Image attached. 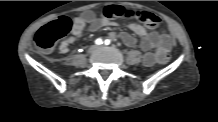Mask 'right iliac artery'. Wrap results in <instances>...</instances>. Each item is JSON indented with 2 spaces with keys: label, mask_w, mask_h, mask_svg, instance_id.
<instances>
[{
  "label": "right iliac artery",
  "mask_w": 218,
  "mask_h": 122,
  "mask_svg": "<svg viewBox=\"0 0 218 122\" xmlns=\"http://www.w3.org/2000/svg\"><path fill=\"white\" fill-rule=\"evenodd\" d=\"M95 43L97 45H101L103 42H102V39L98 38V39L95 40Z\"/></svg>",
  "instance_id": "1"
}]
</instances>
